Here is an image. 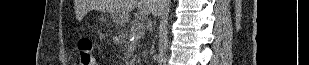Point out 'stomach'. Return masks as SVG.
Returning <instances> with one entry per match:
<instances>
[{
  "instance_id": "0dacf381",
  "label": "stomach",
  "mask_w": 309,
  "mask_h": 65,
  "mask_svg": "<svg viewBox=\"0 0 309 65\" xmlns=\"http://www.w3.org/2000/svg\"><path fill=\"white\" fill-rule=\"evenodd\" d=\"M114 21L118 24H125L128 21V15L122 12H116L112 14Z\"/></svg>"
}]
</instances>
